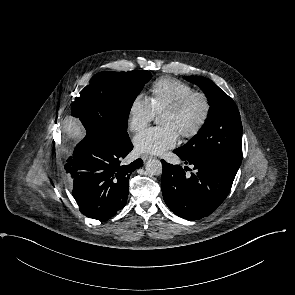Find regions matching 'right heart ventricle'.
<instances>
[{
  "label": "right heart ventricle",
  "mask_w": 295,
  "mask_h": 295,
  "mask_svg": "<svg viewBox=\"0 0 295 295\" xmlns=\"http://www.w3.org/2000/svg\"><path fill=\"white\" fill-rule=\"evenodd\" d=\"M150 91L152 107L156 114H161L193 91V87L179 79L161 77L152 83Z\"/></svg>",
  "instance_id": "1"
}]
</instances>
